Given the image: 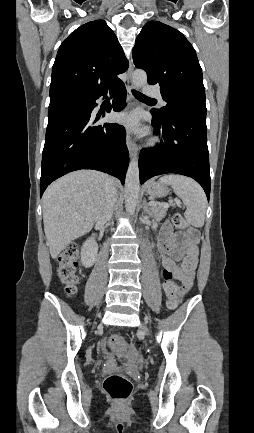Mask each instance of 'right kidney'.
I'll list each match as a JSON object with an SVG mask.
<instances>
[{
	"mask_svg": "<svg viewBox=\"0 0 254 433\" xmlns=\"http://www.w3.org/2000/svg\"><path fill=\"white\" fill-rule=\"evenodd\" d=\"M98 254V245L91 238L87 239L81 248V263L86 268L92 267Z\"/></svg>",
	"mask_w": 254,
	"mask_h": 433,
	"instance_id": "ca27d5eb",
	"label": "right kidney"
}]
</instances>
